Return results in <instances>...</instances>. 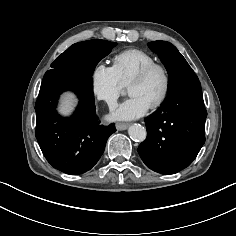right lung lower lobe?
<instances>
[{
  "instance_id": "obj_1",
  "label": "right lung lower lobe",
  "mask_w": 236,
  "mask_h": 236,
  "mask_svg": "<svg viewBox=\"0 0 236 236\" xmlns=\"http://www.w3.org/2000/svg\"><path fill=\"white\" fill-rule=\"evenodd\" d=\"M74 91L80 102L67 119L56 112L59 95ZM36 111V138L43 155L54 168L67 174L90 170L101 157L115 125H100L96 116L92 79L76 71L53 70L45 74Z\"/></svg>"
}]
</instances>
